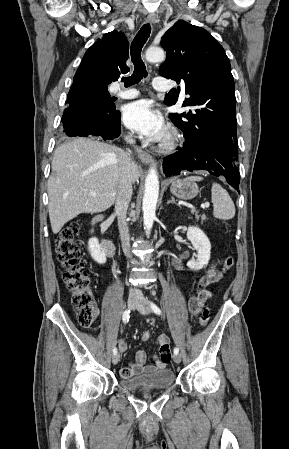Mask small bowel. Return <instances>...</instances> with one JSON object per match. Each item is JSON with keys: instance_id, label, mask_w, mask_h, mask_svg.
Returning <instances> with one entry per match:
<instances>
[{"instance_id": "c3829d8e", "label": "small bowel", "mask_w": 289, "mask_h": 449, "mask_svg": "<svg viewBox=\"0 0 289 449\" xmlns=\"http://www.w3.org/2000/svg\"><path fill=\"white\" fill-rule=\"evenodd\" d=\"M176 267L182 269L179 265H176ZM222 278L223 275L217 270L215 265L210 266L206 270L205 274L198 281L196 292L189 299L188 307L191 314L197 315L200 313L202 307L212 297V291L207 289V287L210 284L219 282ZM156 344L159 346L160 357L154 355L153 363L146 364L147 355L145 351H138L135 362L120 369V376L130 378L143 372L150 373L155 370L165 369L172 357L170 339L167 335L162 334L157 338ZM118 346L121 352L127 350V344L123 340H119Z\"/></svg>"}]
</instances>
